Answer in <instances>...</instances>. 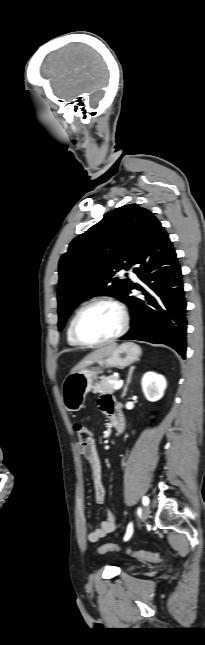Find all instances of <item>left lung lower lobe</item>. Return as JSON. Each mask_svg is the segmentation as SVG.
<instances>
[{
    "label": "left lung lower lobe",
    "instance_id": "1",
    "mask_svg": "<svg viewBox=\"0 0 205 645\" xmlns=\"http://www.w3.org/2000/svg\"><path fill=\"white\" fill-rule=\"evenodd\" d=\"M132 265L134 272L149 287L145 301L130 295L124 298L132 315L131 329L121 339L166 344L186 357V300L181 267L167 232L153 220L140 240ZM141 290L140 288H137Z\"/></svg>",
    "mask_w": 205,
    "mask_h": 645
}]
</instances>
